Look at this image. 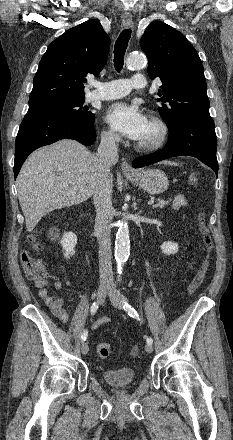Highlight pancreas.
I'll return each mask as SVG.
<instances>
[{
	"label": "pancreas",
	"instance_id": "pancreas-1",
	"mask_svg": "<svg viewBox=\"0 0 233 440\" xmlns=\"http://www.w3.org/2000/svg\"><path fill=\"white\" fill-rule=\"evenodd\" d=\"M171 199L169 200H158L156 204L153 205V208H163L165 205H168L170 203Z\"/></svg>",
	"mask_w": 233,
	"mask_h": 440
}]
</instances>
